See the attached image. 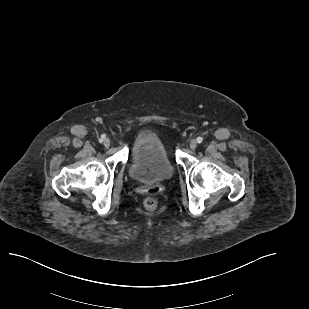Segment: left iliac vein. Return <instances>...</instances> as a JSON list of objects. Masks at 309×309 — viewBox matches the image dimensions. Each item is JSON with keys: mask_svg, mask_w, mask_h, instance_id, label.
<instances>
[{"mask_svg": "<svg viewBox=\"0 0 309 309\" xmlns=\"http://www.w3.org/2000/svg\"><path fill=\"white\" fill-rule=\"evenodd\" d=\"M196 147H197V141L196 140H192L190 142V148L194 150Z\"/></svg>", "mask_w": 309, "mask_h": 309, "instance_id": "obj_1", "label": "left iliac vein"}]
</instances>
